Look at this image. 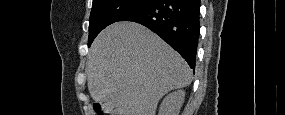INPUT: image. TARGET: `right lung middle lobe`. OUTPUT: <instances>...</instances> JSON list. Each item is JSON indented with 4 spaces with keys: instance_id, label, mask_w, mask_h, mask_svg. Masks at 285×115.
Returning a JSON list of instances; mask_svg holds the SVG:
<instances>
[{
    "instance_id": "1",
    "label": "right lung middle lobe",
    "mask_w": 285,
    "mask_h": 115,
    "mask_svg": "<svg viewBox=\"0 0 285 115\" xmlns=\"http://www.w3.org/2000/svg\"><path fill=\"white\" fill-rule=\"evenodd\" d=\"M150 0H93L89 19L88 46L108 25L141 7Z\"/></svg>"
}]
</instances>
